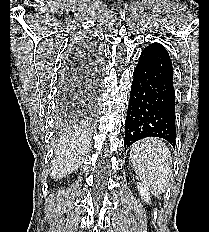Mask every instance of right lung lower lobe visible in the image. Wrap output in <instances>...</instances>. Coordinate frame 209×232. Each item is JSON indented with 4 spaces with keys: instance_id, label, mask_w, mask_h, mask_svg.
Listing matches in <instances>:
<instances>
[{
    "instance_id": "98d812e1",
    "label": "right lung lower lobe",
    "mask_w": 209,
    "mask_h": 232,
    "mask_svg": "<svg viewBox=\"0 0 209 232\" xmlns=\"http://www.w3.org/2000/svg\"><path fill=\"white\" fill-rule=\"evenodd\" d=\"M71 61L77 63V66L81 69V67H85V80L91 78L94 75V70H91L93 66L96 67V63L98 60V52L95 47L85 46L84 44L80 45L75 49L73 54H71ZM70 93L72 91L70 89Z\"/></svg>"
}]
</instances>
